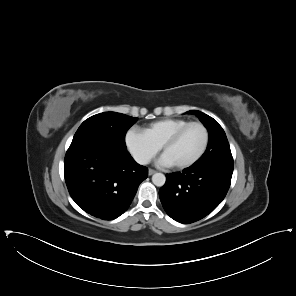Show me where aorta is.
I'll return each instance as SVG.
<instances>
[{
  "mask_svg": "<svg viewBox=\"0 0 296 296\" xmlns=\"http://www.w3.org/2000/svg\"><path fill=\"white\" fill-rule=\"evenodd\" d=\"M166 181V177L164 174L162 173H155L152 176V182L154 185L158 186V187H162L165 184Z\"/></svg>",
  "mask_w": 296,
  "mask_h": 296,
  "instance_id": "762f6f07",
  "label": "aorta"
}]
</instances>
